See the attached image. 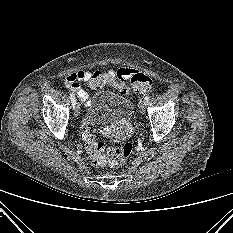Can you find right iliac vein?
Masks as SVG:
<instances>
[{
    "label": "right iliac vein",
    "instance_id": "63e3f726",
    "mask_svg": "<svg viewBox=\"0 0 233 233\" xmlns=\"http://www.w3.org/2000/svg\"><path fill=\"white\" fill-rule=\"evenodd\" d=\"M74 113H75V116H78L80 114V107L78 105L77 102H75V105H74Z\"/></svg>",
    "mask_w": 233,
    "mask_h": 233
}]
</instances>
